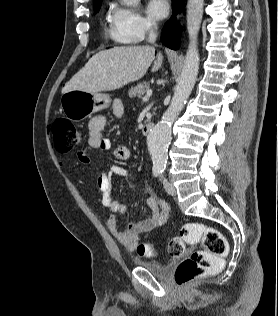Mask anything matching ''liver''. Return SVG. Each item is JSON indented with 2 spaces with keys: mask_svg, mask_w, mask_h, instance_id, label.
Masks as SVG:
<instances>
[{
  "mask_svg": "<svg viewBox=\"0 0 278 316\" xmlns=\"http://www.w3.org/2000/svg\"><path fill=\"white\" fill-rule=\"evenodd\" d=\"M152 46L115 47L95 54L68 81L62 93L79 90L87 93L113 91L142 78L151 63L152 72L161 68L163 56ZM156 58V60H155Z\"/></svg>",
  "mask_w": 278,
  "mask_h": 316,
  "instance_id": "6515ba94",
  "label": "liver"
}]
</instances>
